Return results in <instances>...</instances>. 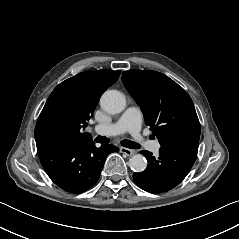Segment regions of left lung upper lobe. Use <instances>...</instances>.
<instances>
[{
	"mask_svg": "<svg viewBox=\"0 0 239 239\" xmlns=\"http://www.w3.org/2000/svg\"><path fill=\"white\" fill-rule=\"evenodd\" d=\"M122 81L141 107L146 124L161 146L199 143L200 124L188 93L166 75L151 70H129Z\"/></svg>",
	"mask_w": 239,
	"mask_h": 239,
	"instance_id": "obj_1",
	"label": "left lung upper lobe"
}]
</instances>
